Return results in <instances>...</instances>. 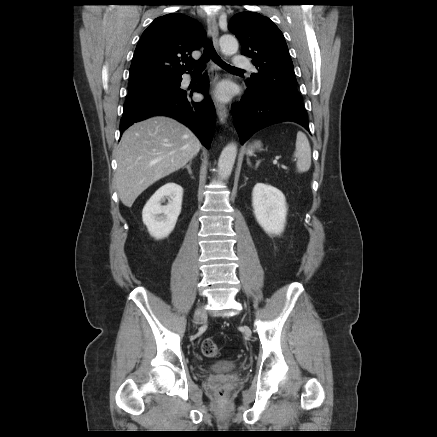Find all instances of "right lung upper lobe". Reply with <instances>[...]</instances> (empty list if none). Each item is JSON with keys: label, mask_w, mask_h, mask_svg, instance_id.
<instances>
[{"label": "right lung upper lobe", "mask_w": 437, "mask_h": 437, "mask_svg": "<svg viewBox=\"0 0 437 437\" xmlns=\"http://www.w3.org/2000/svg\"><path fill=\"white\" fill-rule=\"evenodd\" d=\"M205 35L201 25L189 16L171 13L156 18L137 44L130 79L181 77L192 69L191 52L201 47Z\"/></svg>", "instance_id": "right-lung-upper-lobe-1"}]
</instances>
